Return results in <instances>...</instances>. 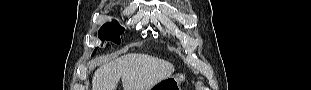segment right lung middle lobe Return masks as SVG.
<instances>
[{"mask_svg":"<svg viewBox=\"0 0 311 90\" xmlns=\"http://www.w3.org/2000/svg\"><path fill=\"white\" fill-rule=\"evenodd\" d=\"M123 32H124V28L119 26V24L116 21L108 22L100 28L98 37L101 40H105V39L111 40L114 43L119 44L121 42V39L119 38V36ZM95 50H97V48Z\"/></svg>","mask_w":311,"mask_h":90,"instance_id":"obj_1","label":"right lung middle lobe"}]
</instances>
